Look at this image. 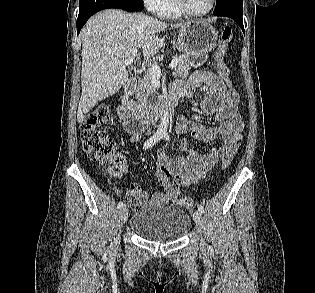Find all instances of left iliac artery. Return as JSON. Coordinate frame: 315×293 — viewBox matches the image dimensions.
<instances>
[{
	"label": "left iliac artery",
	"instance_id": "1",
	"mask_svg": "<svg viewBox=\"0 0 315 293\" xmlns=\"http://www.w3.org/2000/svg\"><path fill=\"white\" fill-rule=\"evenodd\" d=\"M163 137L166 139V140H170L169 138V135L167 133H164L163 134ZM198 211H200L201 213H204V207L202 205H198Z\"/></svg>",
	"mask_w": 315,
	"mask_h": 293
}]
</instances>
